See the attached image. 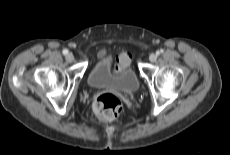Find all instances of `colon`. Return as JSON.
Segmentation results:
<instances>
[{"label":"colon","mask_w":230,"mask_h":155,"mask_svg":"<svg viewBox=\"0 0 230 155\" xmlns=\"http://www.w3.org/2000/svg\"><path fill=\"white\" fill-rule=\"evenodd\" d=\"M126 59H129L128 55H126ZM94 111L99 120L104 122L112 121L120 115L122 105L115 95L106 93L100 95L96 99L94 103Z\"/></svg>","instance_id":"obj_1"}]
</instances>
